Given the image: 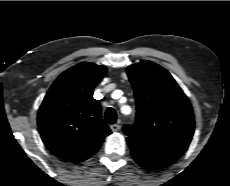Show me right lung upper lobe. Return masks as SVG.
<instances>
[{"label": "right lung upper lobe", "instance_id": "1", "mask_svg": "<svg viewBox=\"0 0 230 186\" xmlns=\"http://www.w3.org/2000/svg\"><path fill=\"white\" fill-rule=\"evenodd\" d=\"M106 72L104 66L80 63L63 72L48 90L38 111V130L46 147L59 158L84 161L111 134L93 98V89Z\"/></svg>", "mask_w": 230, "mask_h": 186}]
</instances>
